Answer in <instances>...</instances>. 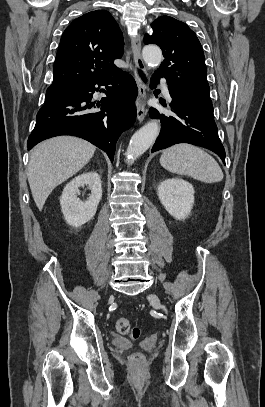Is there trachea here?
<instances>
[{"label": "trachea", "mask_w": 265, "mask_h": 407, "mask_svg": "<svg viewBox=\"0 0 265 407\" xmlns=\"http://www.w3.org/2000/svg\"><path fill=\"white\" fill-rule=\"evenodd\" d=\"M140 76L144 81L146 80L145 76L142 73H140Z\"/></svg>", "instance_id": "1"}]
</instances>
